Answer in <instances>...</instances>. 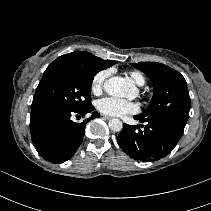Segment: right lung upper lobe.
I'll return each instance as SVG.
<instances>
[{"instance_id":"cb5924a9","label":"right lung upper lobe","mask_w":211,"mask_h":211,"mask_svg":"<svg viewBox=\"0 0 211 211\" xmlns=\"http://www.w3.org/2000/svg\"><path fill=\"white\" fill-rule=\"evenodd\" d=\"M56 60L71 61V62L80 63L82 65L97 66L101 68V70L115 64V61L113 60H103L99 57L92 55L89 52H84V51H76L73 53H68V54L58 57Z\"/></svg>"}]
</instances>
